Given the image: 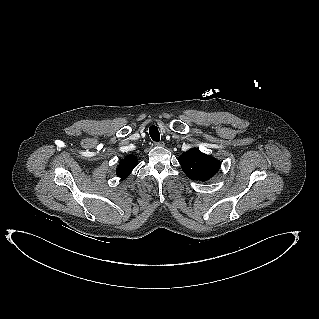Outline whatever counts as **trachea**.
I'll return each instance as SVG.
<instances>
[{
  "mask_svg": "<svg viewBox=\"0 0 319 319\" xmlns=\"http://www.w3.org/2000/svg\"><path fill=\"white\" fill-rule=\"evenodd\" d=\"M149 134H150L153 141H155V142L160 141V133H159V130L156 126L153 125L149 128Z\"/></svg>",
  "mask_w": 319,
  "mask_h": 319,
  "instance_id": "3493384b",
  "label": "trachea"
}]
</instances>
